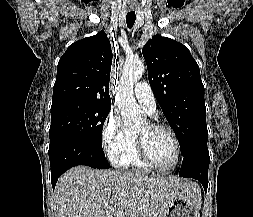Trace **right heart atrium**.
I'll use <instances>...</instances> for the list:
<instances>
[{"mask_svg": "<svg viewBox=\"0 0 253 217\" xmlns=\"http://www.w3.org/2000/svg\"><path fill=\"white\" fill-rule=\"evenodd\" d=\"M132 136L119 113L112 109L104 120L101 138L104 150L113 163L117 162L118 157L127 148Z\"/></svg>", "mask_w": 253, "mask_h": 217, "instance_id": "obj_1", "label": "right heart atrium"}]
</instances>
